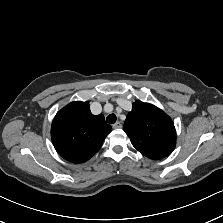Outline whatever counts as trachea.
I'll return each mask as SVG.
<instances>
[{"mask_svg":"<svg viewBox=\"0 0 223 223\" xmlns=\"http://www.w3.org/2000/svg\"><path fill=\"white\" fill-rule=\"evenodd\" d=\"M106 120H107V122H108L109 124H114V123L116 122V120H117V117H116L115 114H109V115L107 116Z\"/></svg>","mask_w":223,"mask_h":223,"instance_id":"1","label":"trachea"}]
</instances>
